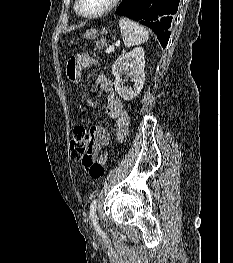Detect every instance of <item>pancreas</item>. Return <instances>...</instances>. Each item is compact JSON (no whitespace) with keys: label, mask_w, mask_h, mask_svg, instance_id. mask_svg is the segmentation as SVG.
Returning a JSON list of instances; mask_svg holds the SVG:
<instances>
[{"label":"pancreas","mask_w":233,"mask_h":263,"mask_svg":"<svg viewBox=\"0 0 233 263\" xmlns=\"http://www.w3.org/2000/svg\"><path fill=\"white\" fill-rule=\"evenodd\" d=\"M96 46L98 48H103L104 46H107V40L106 39H101L100 41L96 42Z\"/></svg>","instance_id":"cf45deb5"}]
</instances>
